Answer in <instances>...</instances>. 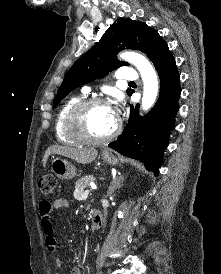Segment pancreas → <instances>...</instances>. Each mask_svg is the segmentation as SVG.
Wrapping results in <instances>:
<instances>
[{
  "instance_id": "obj_1",
  "label": "pancreas",
  "mask_w": 221,
  "mask_h": 274,
  "mask_svg": "<svg viewBox=\"0 0 221 274\" xmlns=\"http://www.w3.org/2000/svg\"><path fill=\"white\" fill-rule=\"evenodd\" d=\"M94 180L95 179L93 176H85V177L78 179L75 183V193L80 195L83 192V190L87 186H89V183Z\"/></svg>"
}]
</instances>
